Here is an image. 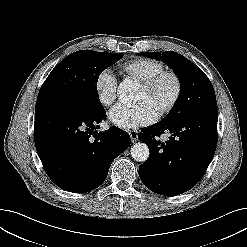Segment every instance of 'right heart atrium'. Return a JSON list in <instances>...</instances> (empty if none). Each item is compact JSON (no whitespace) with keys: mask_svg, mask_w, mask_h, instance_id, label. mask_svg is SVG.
I'll return each mask as SVG.
<instances>
[{"mask_svg":"<svg viewBox=\"0 0 247 247\" xmlns=\"http://www.w3.org/2000/svg\"><path fill=\"white\" fill-rule=\"evenodd\" d=\"M94 90L102 106L110 107L114 104L117 97V80L109 69H104L97 75Z\"/></svg>","mask_w":247,"mask_h":247,"instance_id":"obj_1","label":"right heart atrium"}]
</instances>
